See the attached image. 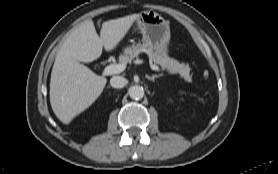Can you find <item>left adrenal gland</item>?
Here are the masks:
<instances>
[{
    "label": "left adrenal gland",
    "mask_w": 278,
    "mask_h": 174,
    "mask_svg": "<svg viewBox=\"0 0 278 174\" xmlns=\"http://www.w3.org/2000/svg\"><path fill=\"white\" fill-rule=\"evenodd\" d=\"M161 77V74H158V75H152V76H147L148 80H151V81H155L156 78H159Z\"/></svg>",
    "instance_id": "left-adrenal-gland-1"
}]
</instances>
